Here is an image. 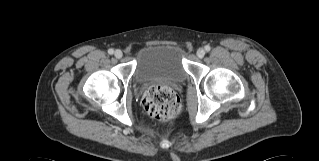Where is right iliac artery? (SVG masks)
Returning a JSON list of instances; mask_svg holds the SVG:
<instances>
[{
  "label": "right iliac artery",
  "instance_id": "obj_1",
  "mask_svg": "<svg viewBox=\"0 0 319 161\" xmlns=\"http://www.w3.org/2000/svg\"><path fill=\"white\" fill-rule=\"evenodd\" d=\"M108 53H109L110 55H112V54L114 53V50H113V49H109V50H108Z\"/></svg>",
  "mask_w": 319,
  "mask_h": 161
}]
</instances>
